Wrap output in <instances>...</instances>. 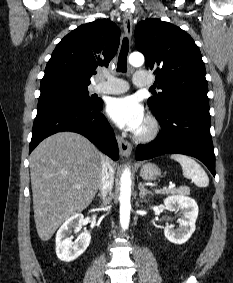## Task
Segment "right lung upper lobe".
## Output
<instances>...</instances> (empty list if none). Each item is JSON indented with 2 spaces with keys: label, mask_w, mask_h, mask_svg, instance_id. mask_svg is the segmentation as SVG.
<instances>
[{
  "label": "right lung upper lobe",
  "mask_w": 233,
  "mask_h": 283,
  "mask_svg": "<svg viewBox=\"0 0 233 283\" xmlns=\"http://www.w3.org/2000/svg\"><path fill=\"white\" fill-rule=\"evenodd\" d=\"M120 43V30L109 19L79 26L55 47L41 82L67 80L89 86L94 70H105Z\"/></svg>",
  "instance_id": "1"
}]
</instances>
